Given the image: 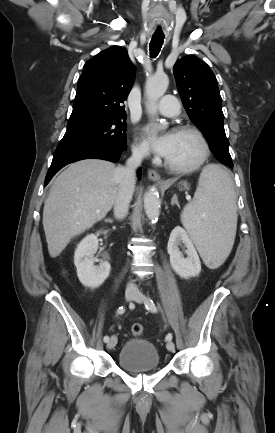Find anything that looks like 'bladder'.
I'll list each match as a JSON object with an SVG mask.
<instances>
[{"label": "bladder", "instance_id": "obj_1", "mask_svg": "<svg viewBox=\"0 0 275 433\" xmlns=\"http://www.w3.org/2000/svg\"><path fill=\"white\" fill-rule=\"evenodd\" d=\"M117 358L121 368L134 374L160 368V358L156 346L143 339L126 340L120 348Z\"/></svg>", "mask_w": 275, "mask_h": 433}]
</instances>
